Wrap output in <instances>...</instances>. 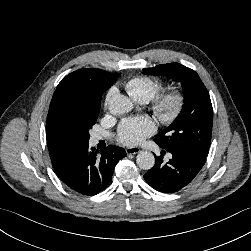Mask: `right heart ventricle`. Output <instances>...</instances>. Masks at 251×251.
I'll use <instances>...</instances> for the list:
<instances>
[{
	"label": "right heart ventricle",
	"mask_w": 251,
	"mask_h": 251,
	"mask_svg": "<svg viewBox=\"0 0 251 251\" xmlns=\"http://www.w3.org/2000/svg\"><path fill=\"white\" fill-rule=\"evenodd\" d=\"M125 88L134 100L147 103L162 91L163 82L157 78L138 76L129 80Z\"/></svg>",
	"instance_id": "right-heart-ventricle-1"
}]
</instances>
